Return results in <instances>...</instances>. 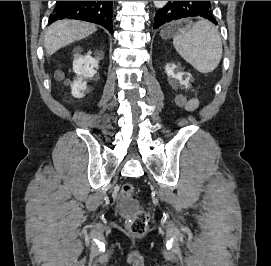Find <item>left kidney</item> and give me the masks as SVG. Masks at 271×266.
I'll return each mask as SVG.
<instances>
[{"mask_svg": "<svg viewBox=\"0 0 271 266\" xmlns=\"http://www.w3.org/2000/svg\"><path fill=\"white\" fill-rule=\"evenodd\" d=\"M165 70L169 77L177 79L181 85H185L186 87H188L189 78L184 77L185 74L184 72H182L181 68L177 67L175 64H167Z\"/></svg>", "mask_w": 271, "mask_h": 266, "instance_id": "left-kidney-1", "label": "left kidney"}]
</instances>
